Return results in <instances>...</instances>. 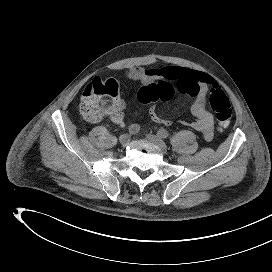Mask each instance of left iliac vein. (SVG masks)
<instances>
[{"label":"left iliac vein","mask_w":272,"mask_h":272,"mask_svg":"<svg viewBox=\"0 0 272 272\" xmlns=\"http://www.w3.org/2000/svg\"><path fill=\"white\" fill-rule=\"evenodd\" d=\"M147 139L149 140V142L157 146L163 154L167 153V145L162 139L152 134H148Z\"/></svg>","instance_id":"obj_1"}]
</instances>
